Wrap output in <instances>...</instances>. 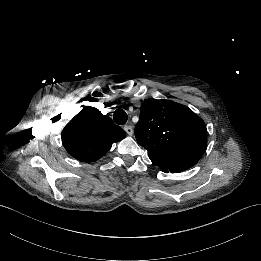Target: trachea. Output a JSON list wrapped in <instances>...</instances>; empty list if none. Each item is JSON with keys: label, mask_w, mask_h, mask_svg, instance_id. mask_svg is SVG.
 <instances>
[{"label": "trachea", "mask_w": 261, "mask_h": 261, "mask_svg": "<svg viewBox=\"0 0 261 261\" xmlns=\"http://www.w3.org/2000/svg\"><path fill=\"white\" fill-rule=\"evenodd\" d=\"M114 121L119 125H124L128 120V115L123 109H117L113 114Z\"/></svg>", "instance_id": "trachea-1"}]
</instances>
